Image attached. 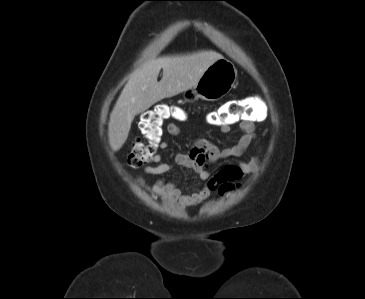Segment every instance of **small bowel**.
Masks as SVG:
<instances>
[{
    "label": "small bowel",
    "mask_w": 365,
    "mask_h": 299,
    "mask_svg": "<svg viewBox=\"0 0 365 299\" xmlns=\"http://www.w3.org/2000/svg\"><path fill=\"white\" fill-rule=\"evenodd\" d=\"M259 120L256 115L249 120L239 122L241 137L238 142L227 148H220L206 138H199L186 153L177 154L172 163L161 162L162 157L156 155L153 162L144 168V172L149 175L162 176L169 172L173 166H183L193 171L203 182L199 190L192 194H184L177 183L169 182L165 178H160L152 187V192L166 200L177 203L184 208L198 203L209 194L210 189L224 183H234L243 176L254 173L259 165V157L255 156L250 161H240L234 165L225 167L214 174H210L208 167L211 163L219 160L239 157L243 155L250 143L255 139V122ZM223 134L230 131V126L220 127ZM166 131L169 135L179 136L182 129L176 123H168ZM167 143L160 141L158 148L166 149Z\"/></svg>",
    "instance_id": "1"
}]
</instances>
